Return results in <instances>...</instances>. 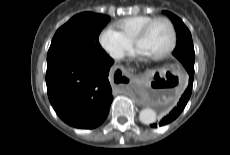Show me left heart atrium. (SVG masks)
<instances>
[{
    "label": "left heart atrium",
    "mask_w": 230,
    "mask_h": 155,
    "mask_svg": "<svg viewBox=\"0 0 230 155\" xmlns=\"http://www.w3.org/2000/svg\"><path fill=\"white\" fill-rule=\"evenodd\" d=\"M135 55L146 56L147 54L141 48H137L135 51Z\"/></svg>",
    "instance_id": "left-heart-atrium-1"
}]
</instances>
